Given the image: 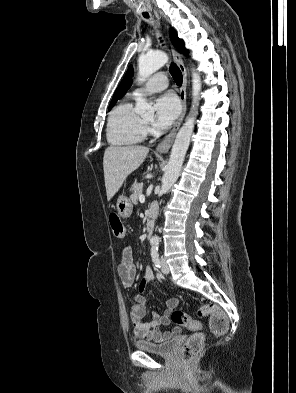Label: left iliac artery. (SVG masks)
I'll list each match as a JSON object with an SVG mask.
<instances>
[{"label":"left iliac artery","mask_w":296,"mask_h":393,"mask_svg":"<svg viewBox=\"0 0 296 393\" xmlns=\"http://www.w3.org/2000/svg\"><path fill=\"white\" fill-rule=\"evenodd\" d=\"M151 256H152V261L154 265L158 268H160V260H159V252H158V244L152 245L151 248Z\"/></svg>","instance_id":"obj_1"}]
</instances>
